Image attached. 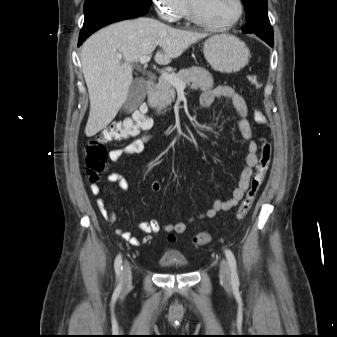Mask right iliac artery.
Listing matches in <instances>:
<instances>
[{"instance_id": "82829eb1", "label": "right iliac artery", "mask_w": 337, "mask_h": 337, "mask_svg": "<svg viewBox=\"0 0 337 337\" xmlns=\"http://www.w3.org/2000/svg\"><path fill=\"white\" fill-rule=\"evenodd\" d=\"M114 267H115L116 275L119 276L123 269L122 268V256L120 254L115 259Z\"/></svg>"}]
</instances>
